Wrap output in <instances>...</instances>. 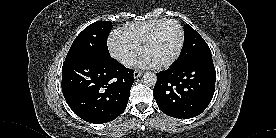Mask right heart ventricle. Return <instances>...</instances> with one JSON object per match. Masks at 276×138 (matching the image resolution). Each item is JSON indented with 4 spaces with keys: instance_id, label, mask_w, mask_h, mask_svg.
I'll list each match as a JSON object with an SVG mask.
<instances>
[{
    "instance_id": "obj_1",
    "label": "right heart ventricle",
    "mask_w": 276,
    "mask_h": 138,
    "mask_svg": "<svg viewBox=\"0 0 276 138\" xmlns=\"http://www.w3.org/2000/svg\"><path fill=\"white\" fill-rule=\"evenodd\" d=\"M163 19H151L142 22H134L121 28L117 35L141 49L151 30Z\"/></svg>"
}]
</instances>
